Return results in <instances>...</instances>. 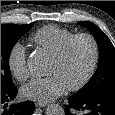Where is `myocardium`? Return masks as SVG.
Returning <instances> with one entry per match:
<instances>
[{
    "label": "myocardium",
    "mask_w": 115,
    "mask_h": 115,
    "mask_svg": "<svg viewBox=\"0 0 115 115\" xmlns=\"http://www.w3.org/2000/svg\"><path fill=\"white\" fill-rule=\"evenodd\" d=\"M80 39H84L90 43V45L92 47V62H91L90 68H89L88 72L86 73V75L78 83L67 87V89L69 91H77V90L82 89L85 85H87V83L94 76V74L97 70L99 58H100L99 46H98L96 39L88 33L75 34L72 37H70L69 39H67L61 45L59 50L51 57L52 61H54L56 63L61 62L65 58V56H66L68 50L70 49V47L72 46V44Z\"/></svg>",
    "instance_id": "myocardium-1"
}]
</instances>
